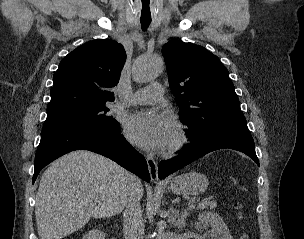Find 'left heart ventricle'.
<instances>
[{"label":"left heart ventricle","instance_id":"left-heart-ventricle-1","mask_svg":"<svg viewBox=\"0 0 304 239\" xmlns=\"http://www.w3.org/2000/svg\"><path fill=\"white\" fill-rule=\"evenodd\" d=\"M174 134H175V133H173V135H172V137H171V139H170V142L173 140V138H174ZM170 142H169V143H170Z\"/></svg>","mask_w":304,"mask_h":239}]
</instances>
